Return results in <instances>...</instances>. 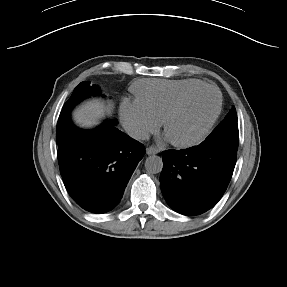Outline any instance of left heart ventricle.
Listing matches in <instances>:
<instances>
[{"instance_id": "b2bd125f", "label": "left heart ventricle", "mask_w": 287, "mask_h": 287, "mask_svg": "<svg viewBox=\"0 0 287 287\" xmlns=\"http://www.w3.org/2000/svg\"><path fill=\"white\" fill-rule=\"evenodd\" d=\"M216 94L209 89L194 93L170 123L167 136L183 141L196 136L206 125L216 107Z\"/></svg>"}]
</instances>
